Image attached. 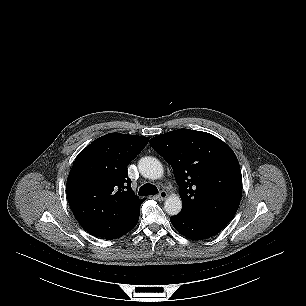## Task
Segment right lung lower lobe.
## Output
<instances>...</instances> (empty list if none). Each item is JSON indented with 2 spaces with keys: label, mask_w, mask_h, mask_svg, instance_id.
Returning <instances> with one entry per match:
<instances>
[{
  "label": "right lung lower lobe",
  "mask_w": 306,
  "mask_h": 306,
  "mask_svg": "<svg viewBox=\"0 0 306 306\" xmlns=\"http://www.w3.org/2000/svg\"><path fill=\"white\" fill-rule=\"evenodd\" d=\"M139 214H140V211L138 212V214L136 215V217L134 218L130 226L119 237L123 236L124 234H126L127 232H129L131 229L135 227V225L138 222Z\"/></svg>",
  "instance_id": "right-lung-lower-lobe-1"
}]
</instances>
